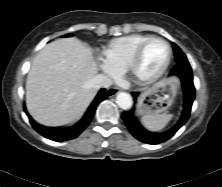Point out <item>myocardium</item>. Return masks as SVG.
<instances>
[{
    "instance_id": "myocardium-1",
    "label": "myocardium",
    "mask_w": 222,
    "mask_h": 187,
    "mask_svg": "<svg viewBox=\"0 0 222 187\" xmlns=\"http://www.w3.org/2000/svg\"><path fill=\"white\" fill-rule=\"evenodd\" d=\"M156 41L162 42L167 46L168 48L167 59L162 68L158 72H156L151 76H144L139 71L144 56V52L151 43ZM172 56H173L172 46L166 39L161 37H151L138 47L126 71L135 82L139 84H150L157 81L159 78L163 76V74L166 72L171 63Z\"/></svg>"
}]
</instances>
